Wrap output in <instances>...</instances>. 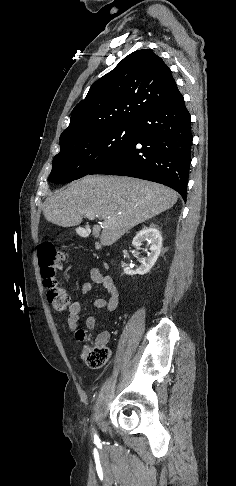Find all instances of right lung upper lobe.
<instances>
[{
	"label": "right lung upper lobe",
	"mask_w": 236,
	"mask_h": 486,
	"mask_svg": "<svg viewBox=\"0 0 236 486\" xmlns=\"http://www.w3.org/2000/svg\"><path fill=\"white\" fill-rule=\"evenodd\" d=\"M182 97L163 60L149 49L137 50L93 83L73 109L60 142L89 131L135 123L150 109Z\"/></svg>",
	"instance_id": "1"
}]
</instances>
